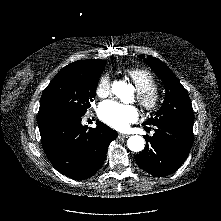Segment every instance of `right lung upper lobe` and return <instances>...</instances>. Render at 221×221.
Instances as JSON below:
<instances>
[{
  "instance_id": "right-lung-upper-lobe-1",
  "label": "right lung upper lobe",
  "mask_w": 221,
  "mask_h": 221,
  "mask_svg": "<svg viewBox=\"0 0 221 221\" xmlns=\"http://www.w3.org/2000/svg\"><path fill=\"white\" fill-rule=\"evenodd\" d=\"M74 63H78V64H81V65H84V66H87V67H90V68H101L104 66V64L106 65V61L105 60H96V59H89V60H86V61H76ZM50 121H47V120H39L38 121V125L41 126L45 123H48Z\"/></svg>"
}]
</instances>
